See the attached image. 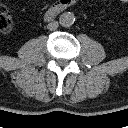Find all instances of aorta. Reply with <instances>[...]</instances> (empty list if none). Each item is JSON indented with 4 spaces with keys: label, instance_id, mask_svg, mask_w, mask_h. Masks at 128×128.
<instances>
[{
    "label": "aorta",
    "instance_id": "762f6f07",
    "mask_svg": "<svg viewBox=\"0 0 128 128\" xmlns=\"http://www.w3.org/2000/svg\"><path fill=\"white\" fill-rule=\"evenodd\" d=\"M75 17L71 12H64L59 17V23L62 27H71L74 24Z\"/></svg>",
    "mask_w": 128,
    "mask_h": 128
}]
</instances>
